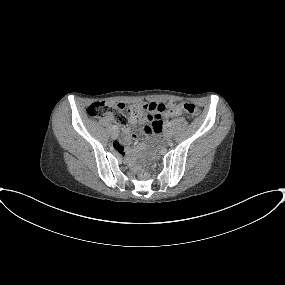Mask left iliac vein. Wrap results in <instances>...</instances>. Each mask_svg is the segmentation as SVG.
<instances>
[{
  "instance_id": "left-iliac-vein-1",
  "label": "left iliac vein",
  "mask_w": 285,
  "mask_h": 285,
  "mask_svg": "<svg viewBox=\"0 0 285 285\" xmlns=\"http://www.w3.org/2000/svg\"><path fill=\"white\" fill-rule=\"evenodd\" d=\"M166 139L170 140L173 137V133L171 130H167L165 133Z\"/></svg>"
}]
</instances>
